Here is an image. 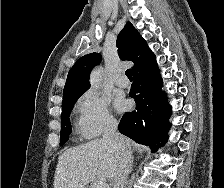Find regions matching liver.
<instances>
[{
    "label": "liver",
    "instance_id": "obj_1",
    "mask_svg": "<svg viewBox=\"0 0 224 188\" xmlns=\"http://www.w3.org/2000/svg\"><path fill=\"white\" fill-rule=\"evenodd\" d=\"M129 145L132 142L125 138ZM119 165V152L104 139H95L67 149L58 158L54 188H86L97 177L113 179Z\"/></svg>",
    "mask_w": 224,
    "mask_h": 188
}]
</instances>
